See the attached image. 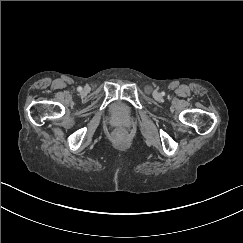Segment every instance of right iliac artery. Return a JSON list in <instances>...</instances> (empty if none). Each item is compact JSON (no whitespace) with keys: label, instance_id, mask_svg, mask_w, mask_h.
Returning a JSON list of instances; mask_svg holds the SVG:
<instances>
[{"label":"right iliac artery","instance_id":"right-iliac-artery-1","mask_svg":"<svg viewBox=\"0 0 243 243\" xmlns=\"http://www.w3.org/2000/svg\"><path fill=\"white\" fill-rule=\"evenodd\" d=\"M77 90H78V91H81V90H82V88H81V87H78V88H77Z\"/></svg>","mask_w":243,"mask_h":243}]
</instances>
